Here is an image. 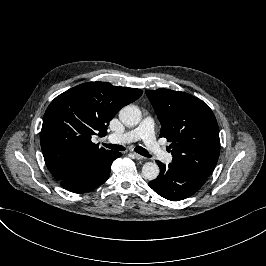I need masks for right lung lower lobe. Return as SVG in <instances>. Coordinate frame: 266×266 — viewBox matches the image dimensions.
<instances>
[{
  "instance_id": "obj_1",
  "label": "right lung lower lobe",
  "mask_w": 266,
  "mask_h": 266,
  "mask_svg": "<svg viewBox=\"0 0 266 266\" xmlns=\"http://www.w3.org/2000/svg\"><path fill=\"white\" fill-rule=\"evenodd\" d=\"M120 156L121 153L108 150L81 159L71 165L65 176L59 180L60 185L74 193L92 191L107 181L112 162Z\"/></svg>"
}]
</instances>
